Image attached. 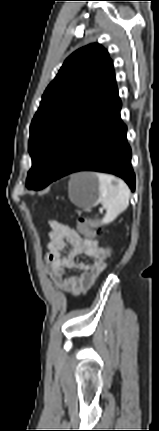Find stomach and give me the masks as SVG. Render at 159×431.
<instances>
[{
	"instance_id": "1",
	"label": "stomach",
	"mask_w": 159,
	"mask_h": 431,
	"mask_svg": "<svg viewBox=\"0 0 159 431\" xmlns=\"http://www.w3.org/2000/svg\"><path fill=\"white\" fill-rule=\"evenodd\" d=\"M69 196L78 207L95 206L100 201L99 180L96 174L81 172L73 175L69 186Z\"/></svg>"
}]
</instances>
